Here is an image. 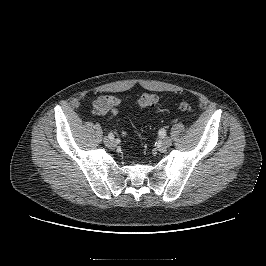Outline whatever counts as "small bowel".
I'll return each mask as SVG.
<instances>
[{
    "instance_id": "c3829d8e",
    "label": "small bowel",
    "mask_w": 266,
    "mask_h": 266,
    "mask_svg": "<svg viewBox=\"0 0 266 266\" xmlns=\"http://www.w3.org/2000/svg\"><path fill=\"white\" fill-rule=\"evenodd\" d=\"M120 104L121 100L118 97L102 95L94 101L93 107L99 114L115 117L118 114Z\"/></svg>"
}]
</instances>
